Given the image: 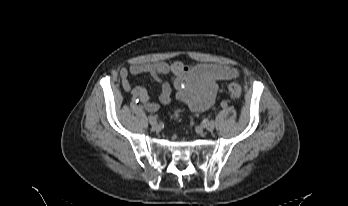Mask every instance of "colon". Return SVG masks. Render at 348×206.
Here are the masks:
<instances>
[{
	"label": "colon",
	"instance_id": "5ec220e1",
	"mask_svg": "<svg viewBox=\"0 0 348 206\" xmlns=\"http://www.w3.org/2000/svg\"><path fill=\"white\" fill-rule=\"evenodd\" d=\"M227 90H228L230 97L234 100L240 98V96L242 94V87L237 82L228 83Z\"/></svg>",
	"mask_w": 348,
	"mask_h": 206
}]
</instances>
